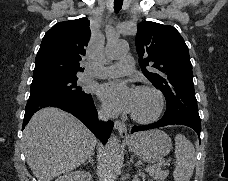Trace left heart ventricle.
<instances>
[{
    "label": "left heart ventricle",
    "instance_id": "b2bd125f",
    "mask_svg": "<svg viewBox=\"0 0 228 181\" xmlns=\"http://www.w3.org/2000/svg\"><path fill=\"white\" fill-rule=\"evenodd\" d=\"M123 74L121 72H116L114 78L118 82H122ZM156 99L153 93L148 90H137L134 92V112L141 116L149 115L155 108Z\"/></svg>",
    "mask_w": 228,
    "mask_h": 181
}]
</instances>
